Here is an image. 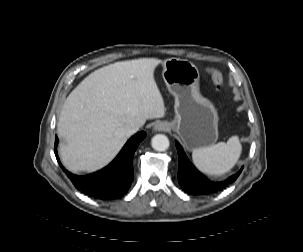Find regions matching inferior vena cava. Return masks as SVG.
I'll use <instances>...</instances> for the list:
<instances>
[{
    "instance_id": "602c4592",
    "label": "inferior vena cava",
    "mask_w": 303,
    "mask_h": 252,
    "mask_svg": "<svg viewBox=\"0 0 303 252\" xmlns=\"http://www.w3.org/2000/svg\"><path fill=\"white\" fill-rule=\"evenodd\" d=\"M140 127H141V125L138 122H136V121L130 122L124 126L123 133L126 137H129L132 134H134L135 132H137Z\"/></svg>"
}]
</instances>
